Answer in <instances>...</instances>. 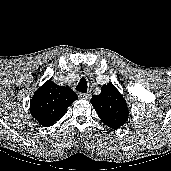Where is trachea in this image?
Here are the masks:
<instances>
[{
  "instance_id": "3493384b",
  "label": "trachea",
  "mask_w": 171,
  "mask_h": 171,
  "mask_svg": "<svg viewBox=\"0 0 171 171\" xmlns=\"http://www.w3.org/2000/svg\"><path fill=\"white\" fill-rule=\"evenodd\" d=\"M87 81L84 77H82L78 83V85L76 86V90L81 92V93H86L87 92Z\"/></svg>"
}]
</instances>
